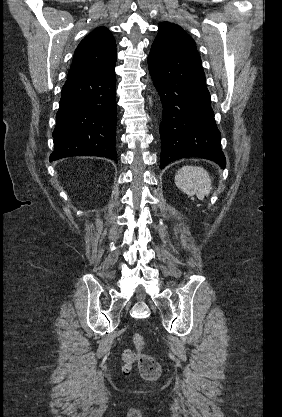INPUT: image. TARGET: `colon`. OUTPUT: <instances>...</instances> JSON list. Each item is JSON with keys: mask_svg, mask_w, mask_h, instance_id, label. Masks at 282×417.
<instances>
[{"mask_svg": "<svg viewBox=\"0 0 282 417\" xmlns=\"http://www.w3.org/2000/svg\"><path fill=\"white\" fill-rule=\"evenodd\" d=\"M133 344L135 347H138V351L140 349H143L145 352L146 348V341L144 340V337L140 333H134L132 335ZM143 355V354H142ZM147 355V354H146ZM133 359V352L131 348H126L122 352V360H123V371L128 373L132 370V367L134 364L131 363V360ZM140 366L139 368V374L142 376L145 380H155L157 379L161 374V365L159 362H156L155 360L148 359V358H142L139 359Z\"/></svg>", "mask_w": 282, "mask_h": 417, "instance_id": "5ec220e1", "label": "colon"}]
</instances>
